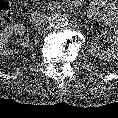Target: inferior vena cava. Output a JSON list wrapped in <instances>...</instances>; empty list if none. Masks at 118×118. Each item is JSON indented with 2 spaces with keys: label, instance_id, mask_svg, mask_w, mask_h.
<instances>
[{
  "label": "inferior vena cava",
  "instance_id": "obj_1",
  "mask_svg": "<svg viewBox=\"0 0 118 118\" xmlns=\"http://www.w3.org/2000/svg\"><path fill=\"white\" fill-rule=\"evenodd\" d=\"M46 17L45 16H41L39 17L38 19H36L34 22H35V25L38 26L40 24H42L44 21H45Z\"/></svg>",
  "mask_w": 118,
  "mask_h": 118
}]
</instances>
